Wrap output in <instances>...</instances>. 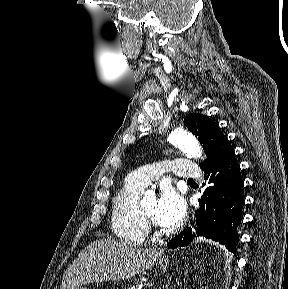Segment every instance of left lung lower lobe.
Masks as SVG:
<instances>
[{
	"label": "left lung lower lobe",
	"instance_id": "left-lung-lower-lobe-1",
	"mask_svg": "<svg viewBox=\"0 0 288 289\" xmlns=\"http://www.w3.org/2000/svg\"><path fill=\"white\" fill-rule=\"evenodd\" d=\"M201 168L206 181L202 184L205 191L195 213L197 235L219 241L234 253L239 241L236 231L242 219L244 197L240 166L228 139L222 142L213 159ZM193 236L195 233L192 234L188 228L170 240L167 246H187Z\"/></svg>",
	"mask_w": 288,
	"mask_h": 289
}]
</instances>
